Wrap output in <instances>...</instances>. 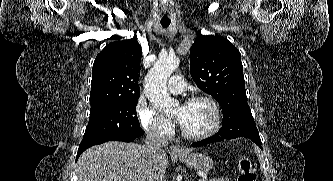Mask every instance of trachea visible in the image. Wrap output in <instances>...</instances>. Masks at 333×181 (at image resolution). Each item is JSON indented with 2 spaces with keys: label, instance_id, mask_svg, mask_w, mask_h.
<instances>
[{
  "label": "trachea",
  "instance_id": "3493384b",
  "mask_svg": "<svg viewBox=\"0 0 333 181\" xmlns=\"http://www.w3.org/2000/svg\"><path fill=\"white\" fill-rule=\"evenodd\" d=\"M161 25L166 28L170 25V20H161Z\"/></svg>",
  "mask_w": 333,
  "mask_h": 181
}]
</instances>
